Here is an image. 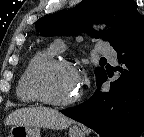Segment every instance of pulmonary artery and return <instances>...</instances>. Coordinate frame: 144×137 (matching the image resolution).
<instances>
[{
  "instance_id": "e3ab8cb5",
  "label": "pulmonary artery",
  "mask_w": 144,
  "mask_h": 137,
  "mask_svg": "<svg viewBox=\"0 0 144 137\" xmlns=\"http://www.w3.org/2000/svg\"><path fill=\"white\" fill-rule=\"evenodd\" d=\"M65 45L63 43V41L58 40L55 42L54 46H53V50L60 52L64 49ZM96 50L107 57H110L112 59H115L116 57V52L105 42L103 41H98L96 44Z\"/></svg>"
}]
</instances>
